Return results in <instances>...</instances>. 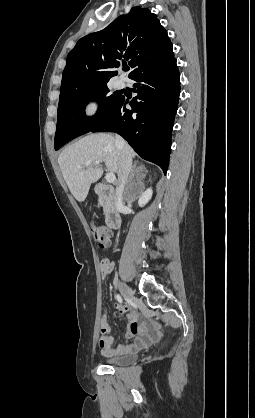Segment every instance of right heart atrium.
I'll use <instances>...</instances> for the list:
<instances>
[{
    "label": "right heart atrium",
    "instance_id": "obj_1",
    "mask_svg": "<svg viewBox=\"0 0 255 418\" xmlns=\"http://www.w3.org/2000/svg\"><path fill=\"white\" fill-rule=\"evenodd\" d=\"M100 110V102L97 98L88 99L83 106V114L86 118H94Z\"/></svg>",
    "mask_w": 255,
    "mask_h": 418
}]
</instances>
